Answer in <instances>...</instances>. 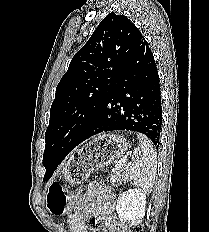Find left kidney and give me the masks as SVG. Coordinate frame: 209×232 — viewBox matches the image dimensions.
Masks as SVG:
<instances>
[{
    "instance_id": "left-kidney-1",
    "label": "left kidney",
    "mask_w": 209,
    "mask_h": 232,
    "mask_svg": "<svg viewBox=\"0 0 209 232\" xmlns=\"http://www.w3.org/2000/svg\"><path fill=\"white\" fill-rule=\"evenodd\" d=\"M146 191L129 189L120 194L116 211L119 219L124 222H138L145 216Z\"/></svg>"
}]
</instances>
